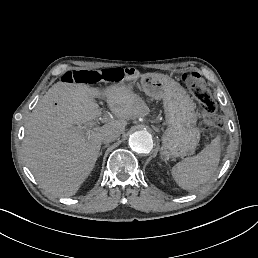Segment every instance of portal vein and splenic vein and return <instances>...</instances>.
<instances>
[{"instance_id": "18ae733b", "label": "portal vein and splenic vein", "mask_w": 258, "mask_h": 258, "mask_svg": "<svg viewBox=\"0 0 258 258\" xmlns=\"http://www.w3.org/2000/svg\"><path fill=\"white\" fill-rule=\"evenodd\" d=\"M86 126H77L76 128L80 131H83V129L85 128ZM94 130H97V129H94Z\"/></svg>"}]
</instances>
